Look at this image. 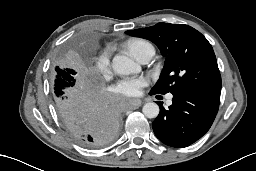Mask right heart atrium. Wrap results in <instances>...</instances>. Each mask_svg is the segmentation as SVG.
<instances>
[{"label": "right heart atrium", "instance_id": "1", "mask_svg": "<svg viewBox=\"0 0 256 171\" xmlns=\"http://www.w3.org/2000/svg\"><path fill=\"white\" fill-rule=\"evenodd\" d=\"M94 67L103 76H107L110 73V55L108 51H104L98 56Z\"/></svg>", "mask_w": 256, "mask_h": 171}]
</instances>
